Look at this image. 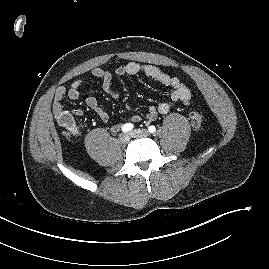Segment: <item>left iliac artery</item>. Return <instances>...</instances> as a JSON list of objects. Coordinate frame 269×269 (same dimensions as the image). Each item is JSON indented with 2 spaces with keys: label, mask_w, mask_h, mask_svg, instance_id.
Masks as SVG:
<instances>
[{
  "label": "left iliac artery",
  "mask_w": 269,
  "mask_h": 269,
  "mask_svg": "<svg viewBox=\"0 0 269 269\" xmlns=\"http://www.w3.org/2000/svg\"><path fill=\"white\" fill-rule=\"evenodd\" d=\"M149 132L151 133H154L156 131V128L155 126L151 125L149 128H148Z\"/></svg>",
  "instance_id": "left-iliac-artery-1"
}]
</instances>
